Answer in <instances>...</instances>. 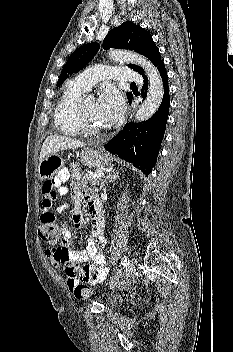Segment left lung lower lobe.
I'll use <instances>...</instances> for the list:
<instances>
[{"label":"left lung lower lobe","mask_w":233,"mask_h":352,"mask_svg":"<svg viewBox=\"0 0 233 352\" xmlns=\"http://www.w3.org/2000/svg\"><path fill=\"white\" fill-rule=\"evenodd\" d=\"M157 70L163 82L164 95L155 114L141 123L130 122L121 132L113 137L104 147L112 154L119 156L144 174L149 175L156 163L159 148L164 136L168 119L170 98L168 89L167 71L163 61L157 66ZM142 98L146 97L148 80L144 76ZM132 99L129 100L131 104Z\"/></svg>","instance_id":"0a47b994"}]
</instances>
